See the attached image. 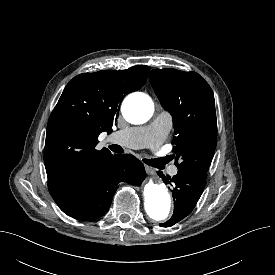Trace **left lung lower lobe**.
<instances>
[{
    "label": "left lung lower lobe",
    "instance_id": "1",
    "mask_svg": "<svg viewBox=\"0 0 275 275\" xmlns=\"http://www.w3.org/2000/svg\"><path fill=\"white\" fill-rule=\"evenodd\" d=\"M158 175L166 184L173 187L174 213L169 221L160 224L161 227H170L189 215L196 206L206 185V178L191 171L178 170L172 178L163 175L158 171Z\"/></svg>",
    "mask_w": 275,
    "mask_h": 275
}]
</instances>
